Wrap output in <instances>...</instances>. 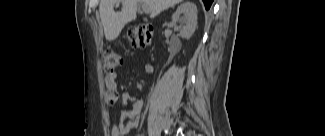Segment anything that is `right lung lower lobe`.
<instances>
[{"label": "right lung lower lobe", "instance_id": "obj_1", "mask_svg": "<svg viewBox=\"0 0 325 136\" xmlns=\"http://www.w3.org/2000/svg\"><path fill=\"white\" fill-rule=\"evenodd\" d=\"M205 8L208 10L213 2V0H203Z\"/></svg>", "mask_w": 325, "mask_h": 136}]
</instances>
